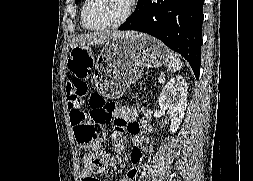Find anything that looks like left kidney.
Returning <instances> with one entry per match:
<instances>
[{"label": "left kidney", "instance_id": "1", "mask_svg": "<svg viewBox=\"0 0 253 181\" xmlns=\"http://www.w3.org/2000/svg\"><path fill=\"white\" fill-rule=\"evenodd\" d=\"M188 85L182 76L172 78L162 89L159 97L161 109L169 110L171 125L169 131L175 133L182 122L187 107Z\"/></svg>", "mask_w": 253, "mask_h": 181}]
</instances>
